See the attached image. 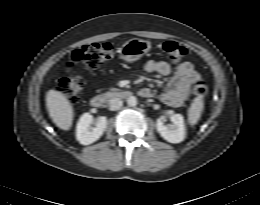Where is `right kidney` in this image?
<instances>
[{
  "instance_id": "right-kidney-1",
  "label": "right kidney",
  "mask_w": 260,
  "mask_h": 205,
  "mask_svg": "<svg viewBox=\"0 0 260 205\" xmlns=\"http://www.w3.org/2000/svg\"><path fill=\"white\" fill-rule=\"evenodd\" d=\"M93 116L89 113H84L76 127V138L82 145H89L97 141L107 127V118L102 116L98 119L96 127H91Z\"/></svg>"
}]
</instances>
